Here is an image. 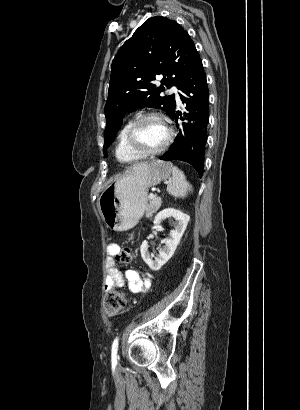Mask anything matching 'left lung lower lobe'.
Wrapping results in <instances>:
<instances>
[{"mask_svg": "<svg viewBox=\"0 0 300 410\" xmlns=\"http://www.w3.org/2000/svg\"><path fill=\"white\" fill-rule=\"evenodd\" d=\"M178 89L187 112L182 114L174 109L170 117L177 122L180 115L185 122H183L182 127H178V135L174 143L160 159L187 162L196 169L201 177L204 172V154L209 121V91L199 55L194 58L189 71L178 85Z\"/></svg>", "mask_w": 300, "mask_h": 410, "instance_id": "obj_1", "label": "left lung lower lobe"}]
</instances>
